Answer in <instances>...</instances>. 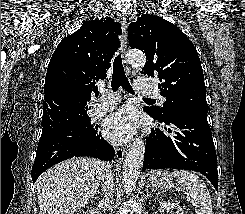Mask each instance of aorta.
Here are the masks:
<instances>
[{"label": "aorta", "instance_id": "aorta-1", "mask_svg": "<svg viewBox=\"0 0 245 214\" xmlns=\"http://www.w3.org/2000/svg\"><path fill=\"white\" fill-rule=\"evenodd\" d=\"M127 61L130 65L143 66L146 62L144 53L130 51L127 54ZM145 152V144L141 138H136L129 146L123 163L122 182L124 189L131 192L140 174Z\"/></svg>", "mask_w": 245, "mask_h": 214}]
</instances>
